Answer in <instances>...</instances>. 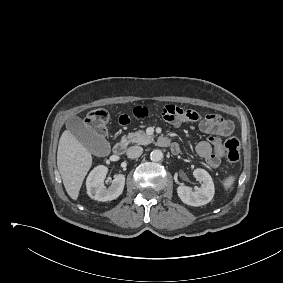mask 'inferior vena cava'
<instances>
[{
	"label": "inferior vena cava",
	"mask_w": 283,
	"mask_h": 283,
	"mask_svg": "<svg viewBox=\"0 0 283 283\" xmlns=\"http://www.w3.org/2000/svg\"><path fill=\"white\" fill-rule=\"evenodd\" d=\"M143 153V148L140 146H131L127 150V156L129 158H137Z\"/></svg>",
	"instance_id": "602c4592"
}]
</instances>
